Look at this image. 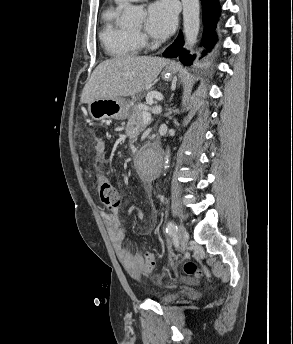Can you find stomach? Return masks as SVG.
<instances>
[{"instance_id": "obj_1", "label": "stomach", "mask_w": 293, "mask_h": 344, "mask_svg": "<svg viewBox=\"0 0 293 344\" xmlns=\"http://www.w3.org/2000/svg\"><path fill=\"white\" fill-rule=\"evenodd\" d=\"M162 76L168 80L172 77V72L165 70ZM88 111L96 121L123 120L129 115V106L122 98L97 99L88 104Z\"/></svg>"}]
</instances>
